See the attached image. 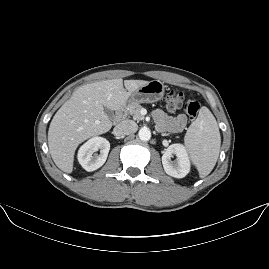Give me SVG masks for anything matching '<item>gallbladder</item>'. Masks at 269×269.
I'll use <instances>...</instances> for the list:
<instances>
[{
  "mask_svg": "<svg viewBox=\"0 0 269 269\" xmlns=\"http://www.w3.org/2000/svg\"><path fill=\"white\" fill-rule=\"evenodd\" d=\"M105 113H106V115H107L109 118H111V117L114 116L113 111H111V110H109V109H107V108H105Z\"/></svg>",
  "mask_w": 269,
  "mask_h": 269,
  "instance_id": "obj_1",
  "label": "gallbladder"
}]
</instances>
